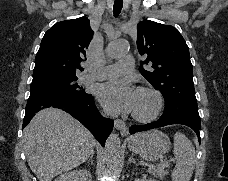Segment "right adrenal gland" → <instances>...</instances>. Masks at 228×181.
<instances>
[{"label": "right adrenal gland", "mask_w": 228, "mask_h": 181, "mask_svg": "<svg viewBox=\"0 0 228 181\" xmlns=\"http://www.w3.org/2000/svg\"><path fill=\"white\" fill-rule=\"evenodd\" d=\"M93 157H94V155H91V157H89V159H87V161H86V163H84V165H87V163H91V165H94Z\"/></svg>", "instance_id": "1"}]
</instances>
